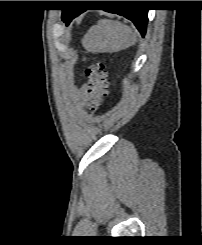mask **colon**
<instances>
[{
  "label": "colon",
  "mask_w": 202,
  "mask_h": 245,
  "mask_svg": "<svg viewBox=\"0 0 202 245\" xmlns=\"http://www.w3.org/2000/svg\"><path fill=\"white\" fill-rule=\"evenodd\" d=\"M85 73L88 79L86 92L88 95L89 111H98L108 95L110 85L105 64L101 61L90 63L86 67Z\"/></svg>",
  "instance_id": "obj_1"
}]
</instances>
